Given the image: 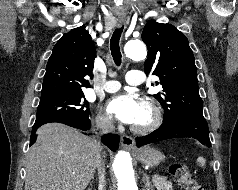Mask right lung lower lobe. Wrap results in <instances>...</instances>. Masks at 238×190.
<instances>
[{
	"label": "right lung lower lobe",
	"mask_w": 238,
	"mask_h": 190,
	"mask_svg": "<svg viewBox=\"0 0 238 190\" xmlns=\"http://www.w3.org/2000/svg\"><path fill=\"white\" fill-rule=\"evenodd\" d=\"M62 123L66 124L68 126L78 128L81 130H88L90 129L91 123L89 118H65V119H53V120H47L43 122H35L32 128L31 138H30V145L34 144L36 141L35 132L36 130L46 124V123ZM102 142L107 145L111 150L115 151L119 147V137L116 134H107L104 135L102 138Z\"/></svg>",
	"instance_id": "obj_1"
}]
</instances>
